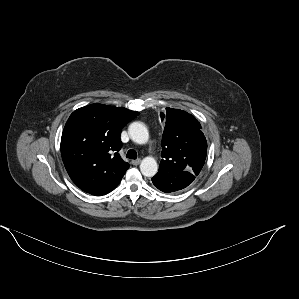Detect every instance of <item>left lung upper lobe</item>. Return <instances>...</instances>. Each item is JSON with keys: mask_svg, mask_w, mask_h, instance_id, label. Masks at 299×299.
<instances>
[{"mask_svg": "<svg viewBox=\"0 0 299 299\" xmlns=\"http://www.w3.org/2000/svg\"><path fill=\"white\" fill-rule=\"evenodd\" d=\"M166 119L162 136L161 172L187 171L197 176L206 159L207 141L201 125L195 117L179 109L166 108Z\"/></svg>", "mask_w": 299, "mask_h": 299, "instance_id": "1", "label": "left lung upper lobe"}]
</instances>
